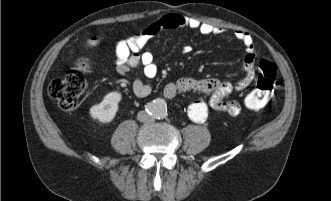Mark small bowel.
Instances as JSON below:
<instances>
[{"instance_id":"1","label":"small bowel","mask_w":331,"mask_h":201,"mask_svg":"<svg viewBox=\"0 0 331 201\" xmlns=\"http://www.w3.org/2000/svg\"><path fill=\"white\" fill-rule=\"evenodd\" d=\"M176 28H189L206 36L224 33L221 27L204 23L194 18L180 14L165 15L137 33L116 42L114 50L117 72L121 75H126L134 69L141 68L146 77H155L157 66L154 62L153 54L145 50V47L160 31ZM233 36L244 45L246 51L244 58L245 76L241 80L231 83L218 79L198 80L181 78L175 82L168 83L164 87L163 93L169 99L174 98L180 92L191 90L211 94L208 101L197 99L188 106V117L196 123L205 122L211 110L224 112L230 116H236L241 112V104L237 100L227 99V97L234 90H243L253 82L257 57L253 38L249 33L235 30ZM132 90L137 97L143 98L151 93V85L137 78L133 82Z\"/></svg>"}]
</instances>
